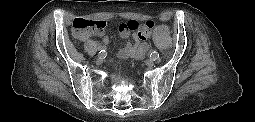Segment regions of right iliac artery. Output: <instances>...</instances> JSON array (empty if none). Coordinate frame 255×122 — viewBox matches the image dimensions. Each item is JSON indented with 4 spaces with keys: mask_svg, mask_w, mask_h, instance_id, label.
Here are the masks:
<instances>
[{
    "mask_svg": "<svg viewBox=\"0 0 255 122\" xmlns=\"http://www.w3.org/2000/svg\"><path fill=\"white\" fill-rule=\"evenodd\" d=\"M98 49H99V53L105 54V47L104 46H99Z\"/></svg>",
    "mask_w": 255,
    "mask_h": 122,
    "instance_id": "obj_1",
    "label": "right iliac artery"
}]
</instances>
